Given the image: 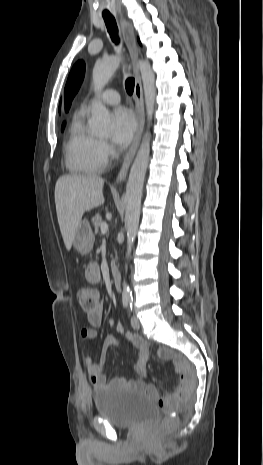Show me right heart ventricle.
Segmentation results:
<instances>
[{"label":"right heart ventricle","instance_id":"right-heart-ventricle-1","mask_svg":"<svg viewBox=\"0 0 263 465\" xmlns=\"http://www.w3.org/2000/svg\"><path fill=\"white\" fill-rule=\"evenodd\" d=\"M83 112L72 120L65 142V163L76 174H95L102 171L106 161L100 154V140L92 135L83 122Z\"/></svg>","mask_w":263,"mask_h":465}]
</instances>
